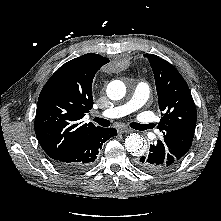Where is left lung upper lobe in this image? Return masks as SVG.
<instances>
[{
    "mask_svg": "<svg viewBox=\"0 0 221 221\" xmlns=\"http://www.w3.org/2000/svg\"><path fill=\"white\" fill-rule=\"evenodd\" d=\"M153 70L162 118L158 129L177 164L192 145L197 110L187 83L166 60L145 54Z\"/></svg>",
    "mask_w": 221,
    "mask_h": 221,
    "instance_id": "left-lung-upper-lobe-1",
    "label": "left lung upper lobe"
}]
</instances>
